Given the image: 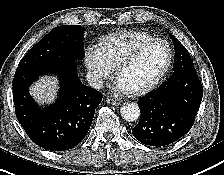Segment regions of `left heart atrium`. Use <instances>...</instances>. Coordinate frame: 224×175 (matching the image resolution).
<instances>
[{"label":"left heart atrium","mask_w":224,"mask_h":175,"mask_svg":"<svg viewBox=\"0 0 224 175\" xmlns=\"http://www.w3.org/2000/svg\"><path fill=\"white\" fill-rule=\"evenodd\" d=\"M115 90L118 92H127L128 91V89L125 87V85L119 79L116 81Z\"/></svg>","instance_id":"obj_1"}]
</instances>
